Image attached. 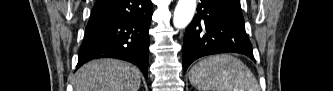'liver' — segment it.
I'll return each instance as SVG.
<instances>
[{"instance_id":"obj_1","label":"liver","mask_w":333,"mask_h":91,"mask_svg":"<svg viewBox=\"0 0 333 91\" xmlns=\"http://www.w3.org/2000/svg\"><path fill=\"white\" fill-rule=\"evenodd\" d=\"M140 70L127 62L98 59L84 64L75 74L74 91H138Z\"/></svg>"}]
</instances>
